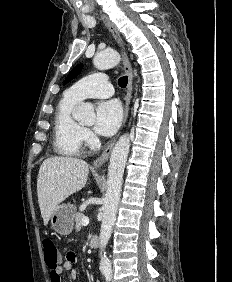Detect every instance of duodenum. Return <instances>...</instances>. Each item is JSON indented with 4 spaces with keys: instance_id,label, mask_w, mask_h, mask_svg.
Returning <instances> with one entry per match:
<instances>
[{
    "instance_id": "410a0bca",
    "label": "duodenum",
    "mask_w": 232,
    "mask_h": 282,
    "mask_svg": "<svg viewBox=\"0 0 232 282\" xmlns=\"http://www.w3.org/2000/svg\"><path fill=\"white\" fill-rule=\"evenodd\" d=\"M89 245L92 249H98L100 246V239L97 236H92Z\"/></svg>"
}]
</instances>
